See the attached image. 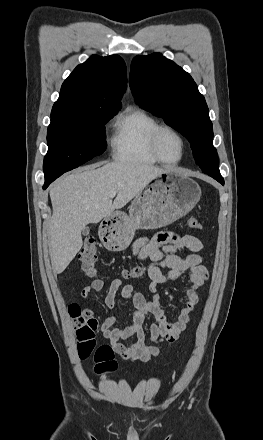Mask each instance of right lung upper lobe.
<instances>
[{
  "label": "right lung upper lobe",
  "mask_w": 263,
  "mask_h": 440,
  "mask_svg": "<svg viewBox=\"0 0 263 440\" xmlns=\"http://www.w3.org/2000/svg\"><path fill=\"white\" fill-rule=\"evenodd\" d=\"M126 84V65L120 56L93 55L64 81L52 108L51 119L95 112L117 113Z\"/></svg>",
  "instance_id": "obj_1"
}]
</instances>
